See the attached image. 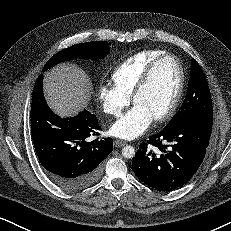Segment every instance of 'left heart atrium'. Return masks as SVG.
Masks as SVG:
<instances>
[{
  "label": "left heart atrium",
  "mask_w": 231,
  "mask_h": 231,
  "mask_svg": "<svg viewBox=\"0 0 231 231\" xmlns=\"http://www.w3.org/2000/svg\"><path fill=\"white\" fill-rule=\"evenodd\" d=\"M154 121L153 116L140 106L134 107L110 128L113 136L131 140L143 134Z\"/></svg>",
  "instance_id": "left-heart-atrium-1"
}]
</instances>
